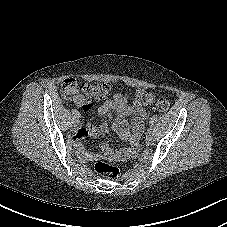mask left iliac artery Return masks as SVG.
Listing matches in <instances>:
<instances>
[{
	"label": "left iliac artery",
	"instance_id": "1",
	"mask_svg": "<svg viewBox=\"0 0 227 227\" xmlns=\"http://www.w3.org/2000/svg\"><path fill=\"white\" fill-rule=\"evenodd\" d=\"M150 133H151V129H148V130H147V134H150Z\"/></svg>",
	"mask_w": 227,
	"mask_h": 227
}]
</instances>
